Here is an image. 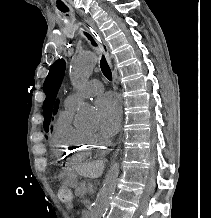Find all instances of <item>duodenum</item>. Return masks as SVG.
Listing matches in <instances>:
<instances>
[{"label": "duodenum", "instance_id": "410a0bca", "mask_svg": "<svg viewBox=\"0 0 211 218\" xmlns=\"http://www.w3.org/2000/svg\"><path fill=\"white\" fill-rule=\"evenodd\" d=\"M82 217L83 218H90V211L85 209L82 211Z\"/></svg>", "mask_w": 211, "mask_h": 218}]
</instances>
